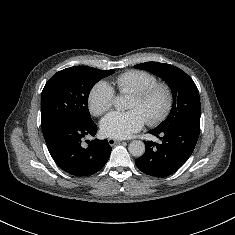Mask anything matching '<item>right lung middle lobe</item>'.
<instances>
[{
	"mask_svg": "<svg viewBox=\"0 0 235 235\" xmlns=\"http://www.w3.org/2000/svg\"><path fill=\"white\" fill-rule=\"evenodd\" d=\"M113 73L114 70L76 66L53 75L41 95L43 135L61 123L84 125L93 122L88 110L90 90L100 79Z\"/></svg>",
	"mask_w": 235,
	"mask_h": 235,
	"instance_id": "obj_1",
	"label": "right lung middle lobe"
}]
</instances>
